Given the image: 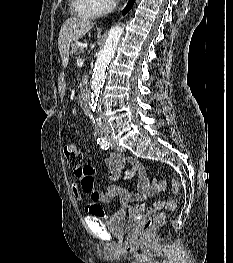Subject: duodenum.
Here are the masks:
<instances>
[{
  "mask_svg": "<svg viewBox=\"0 0 233 263\" xmlns=\"http://www.w3.org/2000/svg\"><path fill=\"white\" fill-rule=\"evenodd\" d=\"M81 82L83 87H88L89 83L91 82L89 75H82L81 76Z\"/></svg>",
  "mask_w": 233,
  "mask_h": 263,
  "instance_id": "duodenum-1",
  "label": "duodenum"
}]
</instances>
